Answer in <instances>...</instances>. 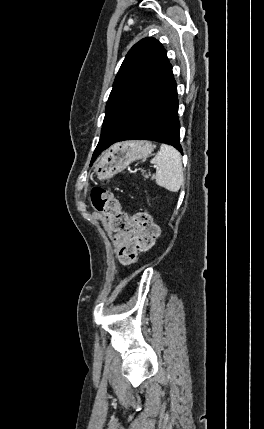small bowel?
<instances>
[{
  "mask_svg": "<svg viewBox=\"0 0 264 429\" xmlns=\"http://www.w3.org/2000/svg\"><path fill=\"white\" fill-rule=\"evenodd\" d=\"M130 237H131V233L128 231L118 233L114 238L115 245L118 248L123 247L129 242Z\"/></svg>",
  "mask_w": 264,
  "mask_h": 429,
  "instance_id": "small-bowel-1",
  "label": "small bowel"
}]
</instances>
